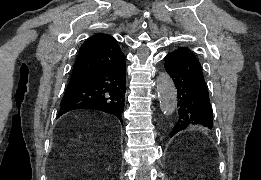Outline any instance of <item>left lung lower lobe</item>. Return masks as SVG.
Segmentation results:
<instances>
[{
	"instance_id": "1",
	"label": "left lung lower lobe",
	"mask_w": 261,
	"mask_h": 180,
	"mask_svg": "<svg viewBox=\"0 0 261 180\" xmlns=\"http://www.w3.org/2000/svg\"><path fill=\"white\" fill-rule=\"evenodd\" d=\"M165 69L177 88L178 120L171 137L187 127L212 129V107L202 67L185 47L166 55Z\"/></svg>"
}]
</instances>
